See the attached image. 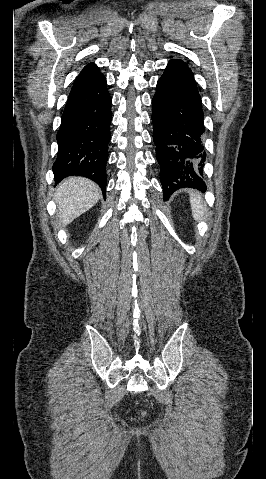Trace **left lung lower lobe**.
<instances>
[{"label":"left lung lower lobe","mask_w":266,"mask_h":479,"mask_svg":"<svg viewBox=\"0 0 266 479\" xmlns=\"http://www.w3.org/2000/svg\"><path fill=\"white\" fill-rule=\"evenodd\" d=\"M201 104L192 71L169 61L152 99L153 140L165 200L184 187L206 190Z\"/></svg>","instance_id":"1"}]
</instances>
